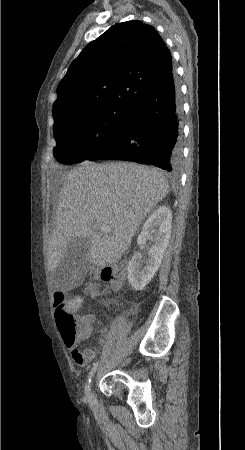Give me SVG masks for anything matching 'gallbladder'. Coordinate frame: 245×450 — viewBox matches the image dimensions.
<instances>
[{
	"label": "gallbladder",
	"instance_id": "bac80fb5",
	"mask_svg": "<svg viewBox=\"0 0 245 450\" xmlns=\"http://www.w3.org/2000/svg\"><path fill=\"white\" fill-rule=\"evenodd\" d=\"M90 246L91 241L88 238L73 239L64 251L55 274L68 284L82 280L86 274Z\"/></svg>",
	"mask_w": 245,
	"mask_h": 450
}]
</instances>
